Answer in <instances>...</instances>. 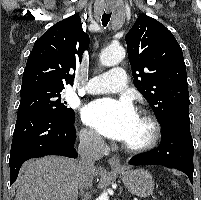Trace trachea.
Segmentation results:
<instances>
[{"mask_svg": "<svg viewBox=\"0 0 201 200\" xmlns=\"http://www.w3.org/2000/svg\"><path fill=\"white\" fill-rule=\"evenodd\" d=\"M111 13L104 12L102 15V25L105 27L107 26L108 22L110 21Z\"/></svg>", "mask_w": 201, "mask_h": 200, "instance_id": "obj_1", "label": "trachea"}]
</instances>
